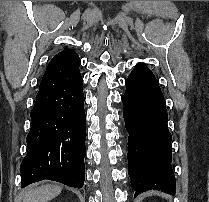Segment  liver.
Wrapping results in <instances>:
<instances>
[{
	"label": "liver",
	"instance_id": "6515ba94",
	"mask_svg": "<svg viewBox=\"0 0 209 202\" xmlns=\"http://www.w3.org/2000/svg\"><path fill=\"white\" fill-rule=\"evenodd\" d=\"M61 186L44 184L32 185L23 192V202H48L60 194Z\"/></svg>",
	"mask_w": 209,
	"mask_h": 202
}]
</instances>
